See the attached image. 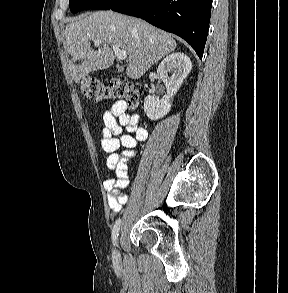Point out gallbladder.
<instances>
[{
    "instance_id": "bac80fb5",
    "label": "gallbladder",
    "mask_w": 288,
    "mask_h": 293,
    "mask_svg": "<svg viewBox=\"0 0 288 293\" xmlns=\"http://www.w3.org/2000/svg\"><path fill=\"white\" fill-rule=\"evenodd\" d=\"M122 71H123V67H118V68H117V72H118V73H120V72H122Z\"/></svg>"
}]
</instances>
